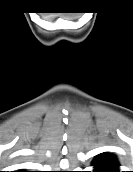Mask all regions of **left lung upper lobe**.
Wrapping results in <instances>:
<instances>
[{
	"instance_id": "left-lung-upper-lobe-1",
	"label": "left lung upper lobe",
	"mask_w": 133,
	"mask_h": 172,
	"mask_svg": "<svg viewBox=\"0 0 133 172\" xmlns=\"http://www.w3.org/2000/svg\"><path fill=\"white\" fill-rule=\"evenodd\" d=\"M93 172H120V164L114 155L106 152L95 157L92 162Z\"/></svg>"
}]
</instances>
